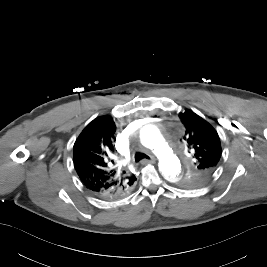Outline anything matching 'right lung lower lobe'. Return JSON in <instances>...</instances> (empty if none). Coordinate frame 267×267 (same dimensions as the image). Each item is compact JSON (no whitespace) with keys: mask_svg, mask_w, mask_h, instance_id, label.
I'll use <instances>...</instances> for the list:
<instances>
[{"mask_svg":"<svg viewBox=\"0 0 267 267\" xmlns=\"http://www.w3.org/2000/svg\"><path fill=\"white\" fill-rule=\"evenodd\" d=\"M134 184V183H133ZM132 184V185H133ZM132 185L128 186L127 188H123V190L125 192H127V194L130 192L131 188H132ZM126 194H113L111 197H102L104 199H108V200H112V199H119V198H122L124 197ZM100 197V196H99Z\"/></svg>","mask_w":267,"mask_h":267,"instance_id":"right-lung-lower-lobe-1","label":"right lung lower lobe"}]
</instances>
